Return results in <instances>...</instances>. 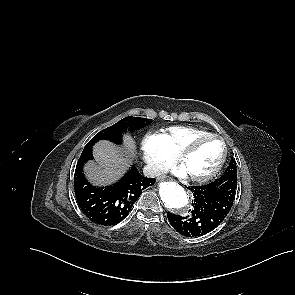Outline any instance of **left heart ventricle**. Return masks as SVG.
<instances>
[{
    "mask_svg": "<svg viewBox=\"0 0 295 295\" xmlns=\"http://www.w3.org/2000/svg\"><path fill=\"white\" fill-rule=\"evenodd\" d=\"M222 154V145L218 140L202 142L183 162L188 175L202 176L209 173L218 163Z\"/></svg>",
    "mask_w": 295,
    "mask_h": 295,
    "instance_id": "left-heart-ventricle-1",
    "label": "left heart ventricle"
}]
</instances>
